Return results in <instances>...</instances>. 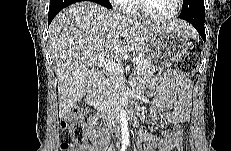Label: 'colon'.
Returning <instances> with one entry per match:
<instances>
[{"instance_id":"obj_1","label":"colon","mask_w":231,"mask_h":151,"mask_svg":"<svg viewBox=\"0 0 231 151\" xmlns=\"http://www.w3.org/2000/svg\"><path fill=\"white\" fill-rule=\"evenodd\" d=\"M197 57L194 54H186L177 62L178 71L190 78L194 75L197 69ZM61 127L68 129L73 142L63 143L61 145L62 151H82L81 145L87 140V133L83 121V114L80 109L74 108L63 115L61 120ZM182 147V131L180 126L174 129V143L170 147V151H181Z\"/></svg>"}]
</instances>
